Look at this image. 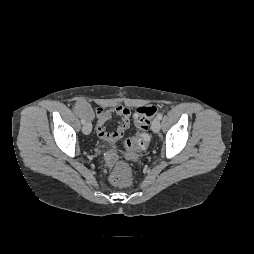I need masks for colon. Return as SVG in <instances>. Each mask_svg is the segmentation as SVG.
Returning <instances> with one entry per match:
<instances>
[{
  "label": "colon",
  "instance_id": "colon-1",
  "mask_svg": "<svg viewBox=\"0 0 254 254\" xmlns=\"http://www.w3.org/2000/svg\"><path fill=\"white\" fill-rule=\"evenodd\" d=\"M156 112L157 107L154 105L142 106L136 109L134 120L137 133L126 142L128 149L142 150L148 145L150 140L148 130ZM111 180L118 186H126L131 182L130 172L126 168H118L113 172Z\"/></svg>",
  "mask_w": 254,
  "mask_h": 254
}]
</instances>
